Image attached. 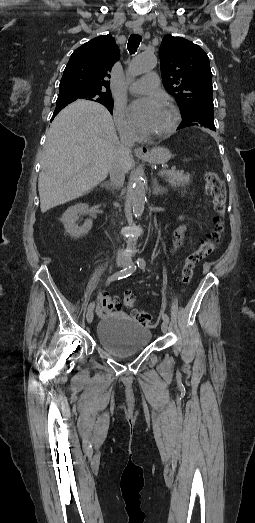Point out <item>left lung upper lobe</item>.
<instances>
[{
  "label": "left lung upper lobe",
  "instance_id": "1",
  "mask_svg": "<svg viewBox=\"0 0 255 523\" xmlns=\"http://www.w3.org/2000/svg\"><path fill=\"white\" fill-rule=\"evenodd\" d=\"M163 84L177 101L184 120L178 127L202 125L216 131L209 58L198 45L166 35L159 49Z\"/></svg>",
  "mask_w": 255,
  "mask_h": 523
}]
</instances>
